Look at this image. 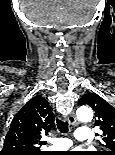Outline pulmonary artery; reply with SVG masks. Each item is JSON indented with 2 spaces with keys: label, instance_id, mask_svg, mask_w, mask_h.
Returning <instances> with one entry per match:
<instances>
[{
  "label": "pulmonary artery",
  "instance_id": "e3ab8cb5",
  "mask_svg": "<svg viewBox=\"0 0 115 155\" xmlns=\"http://www.w3.org/2000/svg\"><path fill=\"white\" fill-rule=\"evenodd\" d=\"M74 137L78 141L89 142L90 141V130L87 127H79L75 130ZM54 150H66L72 146V141L69 138H57L54 140Z\"/></svg>",
  "mask_w": 115,
  "mask_h": 155
}]
</instances>
